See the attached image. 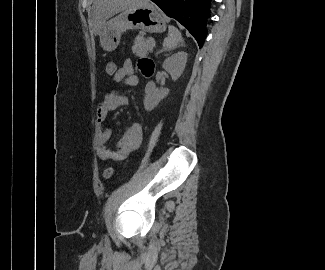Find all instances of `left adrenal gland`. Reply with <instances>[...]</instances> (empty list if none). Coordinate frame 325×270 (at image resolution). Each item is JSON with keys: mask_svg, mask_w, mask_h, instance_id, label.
<instances>
[{"mask_svg": "<svg viewBox=\"0 0 325 270\" xmlns=\"http://www.w3.org/2000/svg\"><path fill=\"white\" fill-rule=\"evenodd\" d=\"M181 46H184L183 42H182ZM162 51H163V50L158 51V52L156 53V56H157L159 53H161Z\"/></svg>", "mask_w": 325, "mask_h": 270, "instance_id": "a2214340", "label": "left adrenal gland"}]
</instances>
